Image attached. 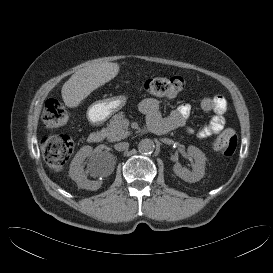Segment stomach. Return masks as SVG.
I'll list each match as a JSON object with an SVG mask.
<instances>
[{
    "label": "stomach",
    "mask_w": 273,
    "mask_h": 273,
    "mask_svg": "<svg viewBox=\"0 0 273 273\" xmlns=\"http://www.w3.org/2000/svg\"><path fill=\"white\" fill-rule=\"evenodd\" d=\"M126 101V97L122 95L96 101L89 106L87 118L93 124L104 122L114 113L122 109V107L125 106Z\"/></svg>",
    "instance_id": "0dacf381"
}]
</instances>
